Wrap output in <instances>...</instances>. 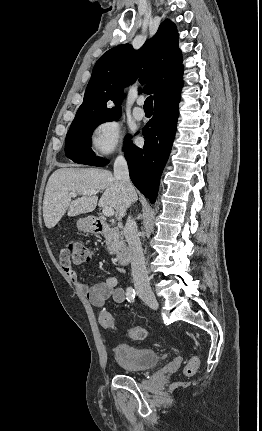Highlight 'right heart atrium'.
<instances>
[{
  "label": "right heart atrium",
  "mask_w": 262,
  "mask_h": 431,
  "mask_svg": "<svg viewBox=\"0 0 262 431\" xmlns=\"http://www.w3.org/2000/svg\"><path fill=\"white\" fill-rule=\"evenodd\" d=\"M122 126L116 118L98 123L91 134V149L98 157L110 156L122 149Z\"/></svg>",
  "instance_id": "obj_1"
}]
</instances>
